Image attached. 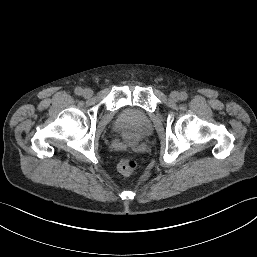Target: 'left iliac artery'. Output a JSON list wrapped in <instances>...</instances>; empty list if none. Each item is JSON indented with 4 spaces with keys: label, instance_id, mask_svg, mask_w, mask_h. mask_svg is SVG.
<instances>
[{
    "label": "left iliac artery",
    "instance_id": "left-iliac-artery-1",
    "mask_svg": "<svg viewBox=\"0 0 257 257\" xmlns=\"http://www.w3.org/2000/svg\"><path fill=\"white\" fill-rule=\"evenodd\" d=\"M187 97H188V95H187V93H185V92H182V93L180 94V99H181V100H186Z\"/></svg>",
    "mask_w": 257,
    "mask_h": 257
}]
</instances>
